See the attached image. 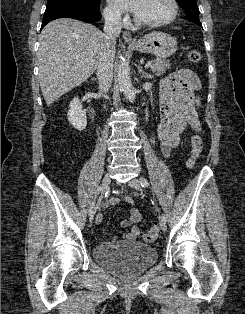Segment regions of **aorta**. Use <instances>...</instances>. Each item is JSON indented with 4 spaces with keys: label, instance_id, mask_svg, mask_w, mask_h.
<instances>
[{
    "label": "aorta",
    "instance_id": "762f6f07",
    "mask_svg": "<svg viewBox=\"0 0 245 314\" xmlns=\"http://www.w3.org/2000/svg\"><path fill=\"white\" fill-rule=\"evenodd\" d=\"M117 80L120 90L124 93L127 99L134 101L136 98V91L131 82L129 63L124 58H122L117 65Z\"/></svg>",
    "mask_w": 245,
    "mask_h": 314
}]
</instances>
